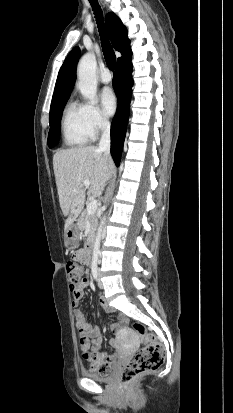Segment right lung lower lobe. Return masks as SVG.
Segmentation results:
<instances>
[{"label":"right lung lower lobe","mask_w":233,"mask_h":413,"mask_svg":"<svg viewBox=\"0 0 233 413\" xmlns=\"http://www.w3.org/2000/svg\"><path fill=\"white\" fill-rule=\"evenodd\" d=\"M132 53L117 61L113 87L118 98V109L111 124V155L118 166L126 135L132 86Z\"/></svg>","instance_id":"right-lung-lower-lobe-1"}]
</instances>
